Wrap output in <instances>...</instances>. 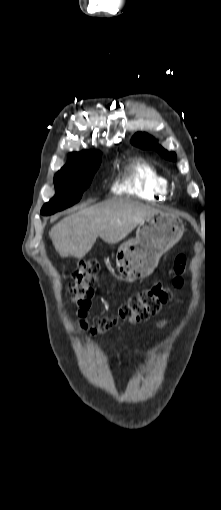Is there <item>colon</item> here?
<instances>
[{
	"mask_svg": "<svg viewBox=\"0 0 221 510\" xmlns=\"http://www.w3.org/2000/svg\"><path fill=\"white\" fill-rule=\"evenodd\" d=\"M186 269V257L178 255L170 269V284L174 288H180L183 283L182 275ZM100 265L96 260L81 262L73 273L71 289L72 301L76 307L80 324L91 333H104L115 326L119 321H128L136 324L147 320L157 314L163 305L169 302L171 294L169 288L163 282H156L150 288L145 289L129 298L119 307L118 313L110 317L100 319L96 324L87 323L86 316L92 306L94 297V285Z\"/></svg>",
	"mask_w": 221,
	"mask_h": 510,
	"instance_id": "obj_1",
	"label": "colon"
}]
</instances>
